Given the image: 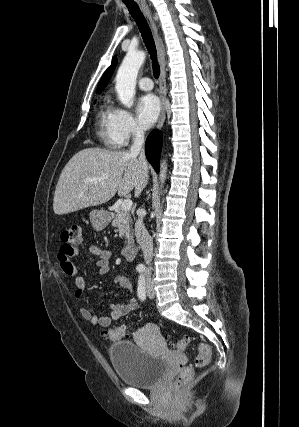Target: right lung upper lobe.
<instances>
[{
  "label": "right lung upper lobe",
  "mask_w": 299,
  "mask_h": 427,
  "mask_svg": "<svg viewBox=\"0 0 299 427\" xmlns=\"http://www.w3.org/2000/svg\"><path fill=\"white\" fill-rule=\"evenodd\" d=\"M116 63H117V59L116 57H113L112 59V64L108 67V69L104 72L99 84H98V88L96 93H100L104 86L108 83V81L110 80L111 75L114 72V69L116 67Z\"/></svg>",
  "instance_id": "cb5924a9"
}]
</instances>
